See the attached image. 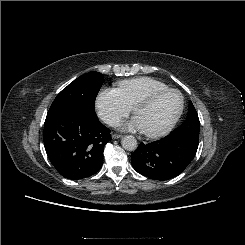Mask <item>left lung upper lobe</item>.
I'll return each instance as SVG.
<instances>
[{
	"label": "left lung upper lobe",
	"instance_id": "obj_1",
	"mask_svg": "<svg viewBox=\"0 0 245 245\" xmlns=\"http://www.w3.org/2000/svg\"><path fill=\"white\" fill-rule=\"evenodd\" d=\"M199 127H200V123H199L198 114L192 102L190 101L188 114L185 122L175 130H173L166 137L169 139L186 137V138L199 140Z\"/></svg>",
	"mask_w": 245,
	"mask_h": 245
}]
</instances>
